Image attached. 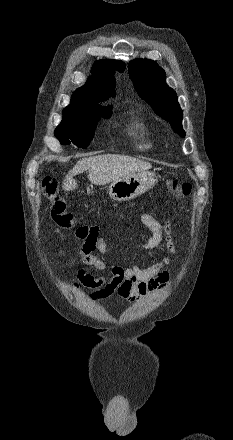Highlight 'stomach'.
I'll return each instance as SVG.
<instances>
[{
	"label": "stomach",
	"instance_id": "stomach-1",
	"mask_svg": "<svg viewBox=\"0 0 233 440\" xmlns=\"http://www.w3.org/2000/svg\"><path fill=\"white\" fill-rule=\"evenodd\" d=\"M157 181L153 172L134 173L113 181L108 188L109 197L119 202L132 200L150 190Z\"/></svg>",
	"mask_w": 233,
	"mask_h": 440
}]
</instances>
